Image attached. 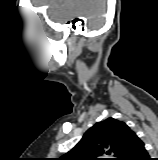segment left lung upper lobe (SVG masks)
Masks as SVG:
<instances>
[{
	"mask_svg": "<svg viewBox=\"0 0 158 160\" xmlns=\"http://www.w3.org/2000/svg\"><path fill=\"white\" fill-rule=\"evenodd\" d=\"M134 135L125 122L108 118L89 128L79 143L58 160H124ZM104 154L115 158H100Z\"/></svg>",
	"mask_w": 158,
	"mask_h": 160,
	"instance_id": "1",
	"label": "left lung upper lobe"
}]
</instances>
